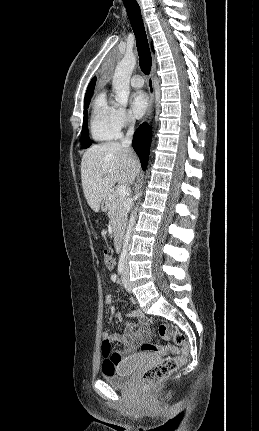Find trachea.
Masks as SVG:
<instances>
[{"label":"trachea","mask_w":259,"mask_h":431,"mask_svg":"<svg viewBox=\"0 0 259 431\" xmlns=\"http://www.w3.org/2000/svg\"><path fill=\"white\" fill-rule=\"evenodd\" d=\"M128 18L136 38V46L139 55V65L145 75L150 74L152 58L143 24L141 11L136 0H123Z\"/></svg>","instance_id":"trachea-1"}]
</instances>
